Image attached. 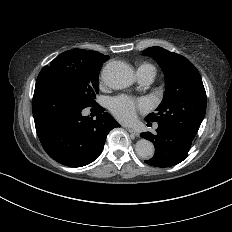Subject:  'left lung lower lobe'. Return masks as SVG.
<instances>
[{
    "label": "left lung lower lobe",
    "instance_id": "left-lung-lower-lobe-1",
    "mask_svg": "<svg viewBox=\"0 0 232 232\" xmlns=\"http://www.w3.org/2000/svg\"><path fill=\"white\" fill-rule=\"evenodd\" d=\"M157 133L143 132L140 136L151 141L155 147L154 156L145 162L155 167L174 166L188 156L193 139L180 130L158 124Z\"/></svg>",
    "mask_w": 232,
    "mask_h": 232
}]
</instances>
